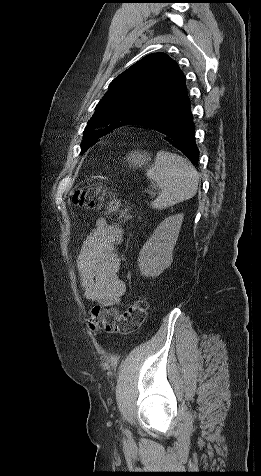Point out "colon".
Segmentation results:
<instances>
[{"mask_svg":"<svg viewBox=\"0 0 261 476\" xmlns=\"http://www.w3.org/2000/svg\"><path fill=\"white\" fill-rule=\"evenodd\" d=\"M72 201L79 207L103 212L112 219L119 221L130 219L127 209L113 192L100 184H92L76 190ZM146 315L147 303L142 299L130 302L123 313L113 308L95 305L88 313L89 329L93 334L100 332L129 334L139 328Z\"/></svg>","mask_w":261,"mask_h":476,"instance_id":"obj_1","label":"colon"}]
</instances>
